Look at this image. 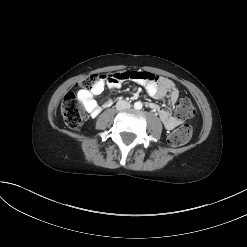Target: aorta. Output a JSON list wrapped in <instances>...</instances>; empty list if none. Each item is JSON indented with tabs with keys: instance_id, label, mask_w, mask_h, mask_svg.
Masks as SVG:
<instances>
[{
	"instance_id": "aorta-1",
	"label": "aorta",
	"mask_w": 247,
	"mask_h": 247,
	"mask_svg": "<svg viewBox=\"0 0 247 247\" xmlns=\"http://www.w3.org/2000/svg\"><path fill=\"white\" fill-rule=\"evenodd\" d=\"M135 109H141L142 108V103L141 102H136L134 104Z\"/></svg>"
}]
</instances>
